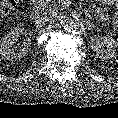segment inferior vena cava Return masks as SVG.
Instances as JSON below:
<instances>
[{
	"instance_id": "602c4592",
	"label": "inferior vena cava",
	"mask_w": 118,
	"mask_h": 118,
	"mask_svg": "<svg viewBox=\"0 0 118 118\" xmlns=\"http://www.w3.org/2000/svg\"><path fill=\"white\" fill-rule=\"evenodd\" d=\"M49 20H50V18L48 16H41L35 22L36 28L43 27L46 24V22Z\"/></svg>"
}]
</instances>
